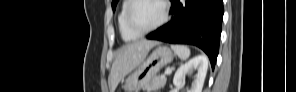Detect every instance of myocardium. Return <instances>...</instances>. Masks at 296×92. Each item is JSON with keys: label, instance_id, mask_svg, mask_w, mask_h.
<instances>
[{"label": "myocardium", "instance_id": "f54148a6", "mask_svg": "<svg viewBox=\"0 0 296 92\" xmlns=\"http://www.w3.org/2000/svg\"><path fill=\"white\" fill-rule=\"evenodd\" d=\"M142 0H133L130 2L128 8H127V11H126V24L128 26V28L135 34L139 35V36H143V35H146L158 28H160L166 21H167V18H168V6H167V3L163 0H156L157 2L160 3L161 7H162V15H161V18L160 20L154 24L152 27L148 28V29H139L137 28L134 23H133V20H132V12L135 8V6L141 2Z\"/></svg>", "mask_w": 296, "mask_h": 92}]
</instances>
